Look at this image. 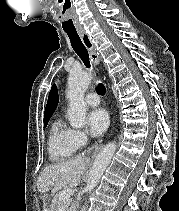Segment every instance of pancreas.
<instances>
[{
  "label": "pancreas",
  "instance_id": "pancreas-1",
  "mask_svg": "<svg viewBox=\"0 0 179 211\" xmlns=\"http://www.w3.org/2000/svg\"><path fill=\"white\" fill-rule=\"evenodd\" d=\"M52 211H58L59 207H63L64 211H77V202L70 199L60 200V193L56 194L52 201Z\"/></svg>",
  "mask_w": 179,
  "mask_h": 211
}]
</instances>
